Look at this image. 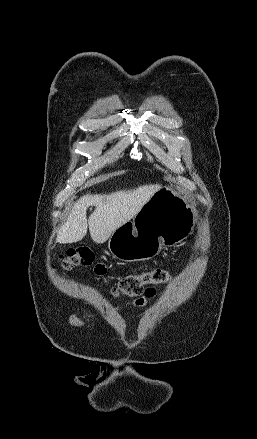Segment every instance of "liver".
Here are the masks:
<instances>
[{
    "mask_svg": "<svg viewBox=\"0 0 257 439\" xmlns=\"http://www.w3.org/2000/svg\"><path fill=\"white\" fill-rule=\"evenodd\" d=\"M159 184L143 185L133 190H121L111 194H87L73 206L66 223L57 234L59 243H74L82 240L89 231L96 243L106 242L121 225L130 221L160 189ZM95 206L87 220L86 211Z\"/></svg>",
    "mask_w": 257,
    "mask_h": 439,
    "instance_id": "1",
    "label": "liver"
}]
</instances>
